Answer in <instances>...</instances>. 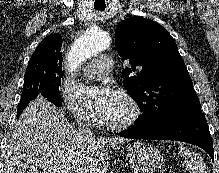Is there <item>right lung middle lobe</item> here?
Segmentation results:
<instances>
[{"label":"right lung middle lobe","mask_w":219,"mask_h":173,"mask_svg":"<svg viewBox=\"0 0 219 173\" xmlns=\"http://www.w3.org/2000/svg\"><path fill=\"white\" fill-rule=\"evenodd\" d=\"M63 72L58 66L29 65L24 75L22 96L40 93L44 98L55 104L62 105L59 91Z\"/></svg>","instance_id":"right-lung-middle-lobe-1"}]
</instances>
